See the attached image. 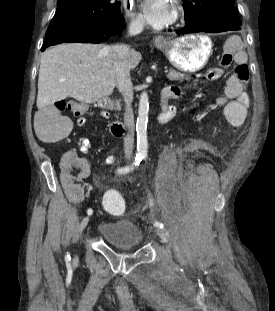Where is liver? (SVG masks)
<instances>
[{"label": "liver", "instance_id": "1", "mask_svg": "<svg viewBox=\"0 0 275 311\" xmlns=\"http://www.w3.org/2000/svg\"><path fill=\"white\" fill-rule=\"evenodd\" d=\"M142 55L131 50L128 62L135 69ZM117 83L111 47L102 44L69 43L45 51L41 57L37 108L72 97L95 103L112 94Z\"/></svg>", "mask_w": 275, "mask_h": 311}]
</instances>
